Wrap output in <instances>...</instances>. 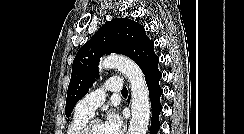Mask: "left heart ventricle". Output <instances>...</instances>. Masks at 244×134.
<instances>
[{
  "label": "left heart ventricle",
  "mask_w": 244,
  "mask_h": 134,
  "mask_svg": "<svg viewBox=\"0 0 244 134\" xmlns=\"http://www.w3.org/2000/svg\"><path fill=\"white\" fill-rule=\"evenodd\" d=\"M91 134H105L103 124L95 125Z\"/></svg>",
  "instance_id": "b2bd125f"
}]
</instances>
